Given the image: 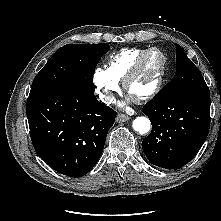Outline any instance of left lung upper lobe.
<instances>
[{
  "label": "left lung upper lobe",
  "instance_id": "left-lung-upper-lobe-1",
  "mask_svg": "<svg viewBox=\"0 0 221 221\" xmlns=\"http://www.w3.org/2000/svg\"><path fill=\"white\" fill-rule=\"evenodd\" d=\"M176 64L177 69L174 78L162 88L154 98L185 93L209 94V88L200 71L190 61L178 44H176Z\"/></svg>",
  "mask_w": 221,
  "mask_h": 221
}]
</instances>
